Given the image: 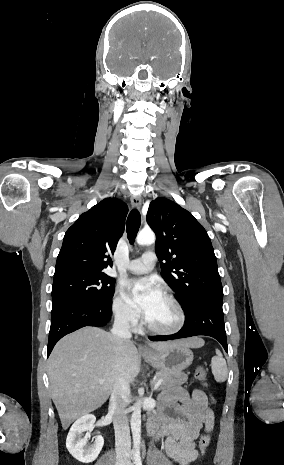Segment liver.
I'll list each match as a JSON object with an SVG mask.
<instances>
[{"label":"liver","mask_w":284,"mask_h":465,"mask_svg":"<svg viewBox=\"0 0 284 465\" xmlns=\"http://www.w3.org/2000/svg\"><path fill=\"white\" fill-rule=\"evenodd\" d=\"M186 347L200 349L203 339H184ZM171 343H150L155 351ZM140 373L138 351L131 341H122L102 329L86 327L67 335L55 345L48 361L51 397L63 429L106 403L116 381L133 383ZM104 379V383H99Z\"/></svg>","instance_id":"6515ba94"}]
</instances>
